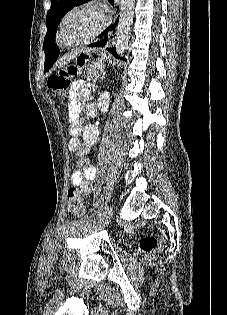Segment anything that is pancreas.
<instances>
[{
    "label": "pancreas",
    "mask_w": 227,
    "mask_h": 315,
    "mask_svg": "<svg viewBox=\"0 0 227 315\" xmlns=\"http://www.w3.org/2000/svg\"><path fill=\"white\" fill-rule=\"evenodd\" d=\"M87 80H96L99 71H102V68L97 67L96 65H89L86 69Z\"/></svg>",
    "instance_id": "cf45deb5"
}]
</instances>
